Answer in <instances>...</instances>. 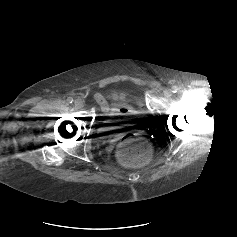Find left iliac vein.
<instances>
[{
    "label": "left iliac vein",
    "instance_id": "4c4485c4",
    "mask_svg": "<svg viewBox=\"0 0 237 237\" xmlns=\"http://www.w3.org/2000/svg\"><path fill=\"white\" fill-rule=\"evenodd\" d=\"M173 91L171 90V89H165L164 90V95L167 97V98H169V97H171L172 96V93Z\"/></svg>",
    "mask_w": 237,
    "mask_h": 237
}]
</instances>
